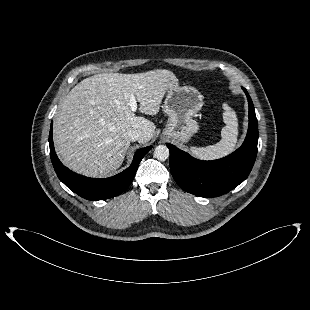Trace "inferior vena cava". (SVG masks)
<instances>
[{"instance_id":"obj_1","label":"inferior vena cava","mask_w":310,"mask_h":310,"mask_svg":"<svg viewBox=\"0 0 310 310\" xmlns=\"http://www.w3.org/2000/svg\"><path fill=\"white\" fill-rule=\"evenodd\" d=\"M130 141H138L141 138V132L137 130H132L128 133Z\"/></svg>"}]
</instances>
